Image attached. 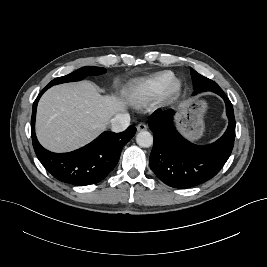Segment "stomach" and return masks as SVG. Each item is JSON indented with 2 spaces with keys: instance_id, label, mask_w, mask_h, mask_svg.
I'll use <instances>...</instances> for the list:
<instances>
[{
  "instance_id": "0dacf381",
  "label": "stomach",
  "mask_w": 267,
  "mask_h": 267,
  "mask_svg": "<svg viewBox=\"0 0 267 267\" xmlns=\"http://www.w3.org/2000/svg\"><path fill=\"white\" fill-rule=\"evenodd\" d=\"M207 108V103L199 99L184 104L177 118V126L189 140L197 141L203 136Z\"/></svg>"
}]
</instances>
